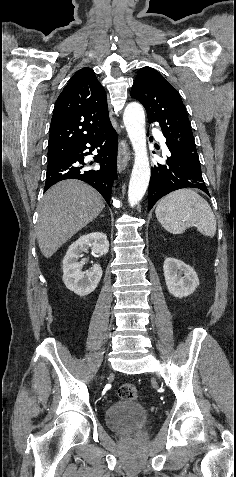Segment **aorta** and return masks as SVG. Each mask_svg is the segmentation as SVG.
<instances>
[{"mask_svg": "<svg viewBox=\"0 0 236 477\" xmlns=\"http://www.w3.org/2000/svg\"><path fill=\"white\" fill-rule=\"evenodd\" d=\"M123 121L135 156L128 188V202L134 206L142 200L150 180L145 113L142 105L129 103L124 110Z\"/></svg>", "mask_w": 236, "mask_h": 477, "instance_id": "1", "label": "aorta"}]
</instances>
